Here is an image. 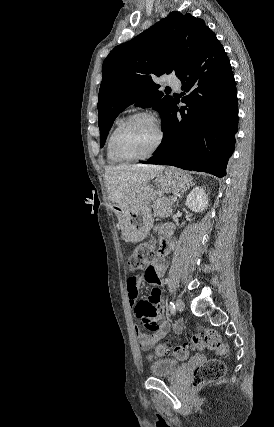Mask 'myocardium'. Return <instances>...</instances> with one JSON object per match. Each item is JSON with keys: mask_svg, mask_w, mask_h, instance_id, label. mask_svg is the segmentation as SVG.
Listing matches in <instances>:
<instances>
[{"mask_svg": "<svg viewBox=\"0 0 274 427\" xmlns=\"http://www.w3.org/2000/svg\"><path fill=\"white\" fill-rule=\"evenodd\" d=\"M139 118L148 119L156 125L158 132H159L158 141H157L156 145L154 146V148L149 153H147L146 155L136 156V157L125 156L124 154H122L119 151V149L117 147V135L121 131V129H123L126 125H128L130 122H132L136 119H139ZM165 137H166L165 130H164L163 126L161 125V123L159 122V120L153 114H151L149 112L140 111V112H137V113H134V114L128 116L125 120H123L122 122H120L117 125V127L114 129V131L112 132V134L110 136V147H111L113 154L123 162L144 161V160L152 158L155 154L158 153V151L164 145Z\"/></svg>", "mask_w": 274, "mask_h": 427, "instance_id": "obj_1", "label": "myocardium"}]
</instances>
